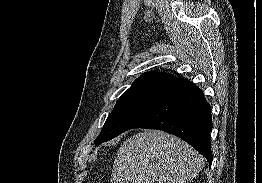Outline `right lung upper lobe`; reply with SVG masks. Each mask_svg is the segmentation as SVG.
Instances as JSON below:
<instances>
[{"mask_svg":"<svg viewBox=\"0 0 262 183\" xmlns=\"http://www.w3.org/2000/svg\"><path fill=\"white\" fill-rule=\"evenodd\" d=\"M174 75L158 72V71H150L142 74L139 78H137L132 86L125 92H138V91H159L161 88L169 84L170 82L176 80Z\"/></svg>","mask_w":262,"mask_h":183,"instance_id":"obj_1","label":"right lung upper lobe"}]
</instances>
